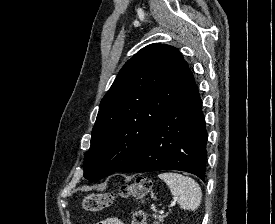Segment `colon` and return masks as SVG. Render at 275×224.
Returning a JSON list of instances; mask_svg holds the SVG:
<instances>
[{"instance_id": "colon-1", "label": "colon", "mask_w": 275, "mask_h": 224, "mask_svg": "<svg viewBox=\"0 0 275 224\" xmlns=\"http://www.w3.org/2000/svg\"><path fill=\"white\" fill-rule=\"evenodd\" d=\"M151 180L145 176L137 177L133 182L122 186L120 195L122 197H132L138 200H143L151 191ZM114 199L112 193H92L86 196L83 205L84 208L91 212H96L109 207ZM146 213L139 210L132 217V224H146Z\"/></svg>"}]
</instances>
